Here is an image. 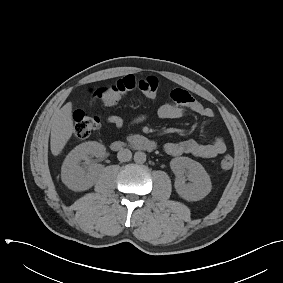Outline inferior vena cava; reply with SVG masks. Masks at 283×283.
<instances>
[{
    "label": "inferior vena cava",
    "instance_id": "1",
    "mask_svg": "<svg viewBox=\"0 0 283 283\" xmlns=\"http://www.w3.org/2000/svg\"><path fill=\"white\" fill-rule=\"evenodd\" d=\"M117 158L121 162H127L132 158V153L129 149H121L117 153Z\"/></svg>",
    "mask_w": 283,
    "mask_h": 283
}]
</instances>
